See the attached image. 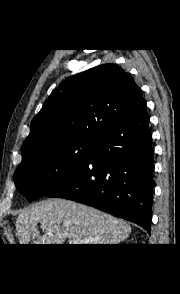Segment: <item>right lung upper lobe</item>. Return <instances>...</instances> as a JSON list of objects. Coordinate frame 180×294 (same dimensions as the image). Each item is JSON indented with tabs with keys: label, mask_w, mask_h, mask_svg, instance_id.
<instances>
[{
	"label": "right lung upper lobe",
	"mask_w": 180,
	"mask_h": 294,
	"mask_svg": "<svg viewBox=\"0 0 180 294\" xmlns=\"http://www.w3.org/2000/svg\"><path fill=\"white\" fill-rule=\"evenodd\" d=\"M143 102L133 78L115 64L71 76L51 93L32 120L21 148L22 161L45 147L95 142Z\"/></svg>",
	"instance_id": "cb5924a9"
}]
</instances>
